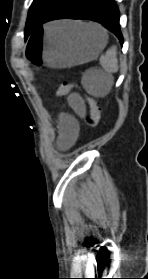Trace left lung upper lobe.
I'll return each instance as SVG.
<instances>
[{"instance_id":"5c2ea615","label":"left lung upper lobe","mask_w":148,"mask_h":279,"mask_svg":"<svg viewBox=\"0 0 148 279\" xmlns=\"http://www.w3.org/2000/svg\"><path fill=\"white\" fill-rule=\"evenodd\" d=\"M65 0H34L26 21L25 39L47 19Z\"/></svg>"}]
</instances>
